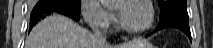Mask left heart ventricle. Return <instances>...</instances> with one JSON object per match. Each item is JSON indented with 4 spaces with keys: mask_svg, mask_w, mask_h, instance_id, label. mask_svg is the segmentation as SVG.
Listing matches in <instances>:
<instances>
[{
    "mask_svg": "<svg viewBox=\"0 0 213 48\" xmlns=\"http://www.w3.org/2000/svg\"><path fill=\"white\" fill-rule=\"evenodd\" d=\"M116 7L119 10V18L128 28H141L148 22L149 11L143 4L119 2Z\"/></svg>",
    "mask_w": 213,
    "mask_h": 48,
    "instance_id": "obj_1",
    "label": "left heart ventricle"
}]
</instances>
